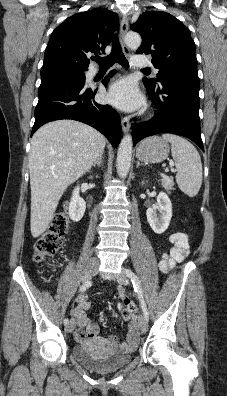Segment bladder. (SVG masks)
Listing matches in <instances>:
<instances>
[{
  "instance_id": "1",
  "label": "bladder",
  "mask_w": 227,
  "mask_h": 396,
  "mask_svg": "<svg viewBox=\"0 0 227 396\" xmlns=\"http://www.w3.org/2000/svg\"><path fill=\"white\" fill-rule=\"evenodd\" d=\"M74 358L89 370L95 372L115 371L132 359V353L103 354L96 350L91 343L75 345L72 349Z\"/></svg>"
}]
</instances>
